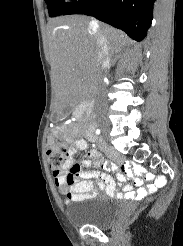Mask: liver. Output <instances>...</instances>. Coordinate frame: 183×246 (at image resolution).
Returning <instances> with one entry per match:
<instances>
[{"label": "liver", "instance_id": "6515ba94", "mask_svg": "<svg viewBox=\"0 0 183 246\" xmlns=\"http://www.w3.org/2000/svg\"><path fill=\"white\" fill-rule=\"evenodd\" d=\"M83 15L59 17L48 23V50L56 107L74 105L84 99L99 78V38L104 35L111 54L129 41L122 31L106 24L90 25Z\"/></svg>", "mask_w": 183, "mask_h": 246}]
</instances>
